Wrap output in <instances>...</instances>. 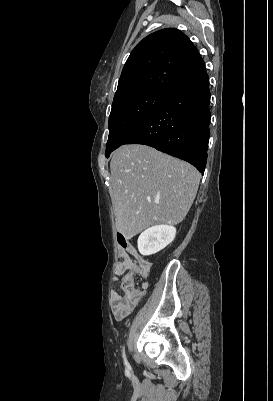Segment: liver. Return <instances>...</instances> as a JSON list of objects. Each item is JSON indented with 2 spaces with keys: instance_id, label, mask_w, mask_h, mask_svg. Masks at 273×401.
<instances>
[{
  "instance_id": "6515ba94",
  "label": "liver",
  "mask_w": 273,
  "mask_h": 401,
  "mask_svg": "<svg viewBox=\"0 0 273 401\" xmlns=\"http://www.w3.org/2000/svg\"><path fill=\"white\" fill-rule=\"evenodd\" d=\"M110 170L115 225L126 239L153 225L181 223L200 182V174L192 164L146 144L117 148Z\"/></svg>"
}]
</instances>
